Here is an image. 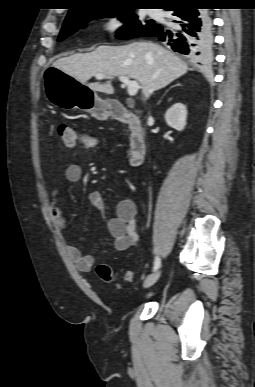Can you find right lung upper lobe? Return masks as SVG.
Instances as JSON below:
<instances>
[{"instance_id":"1","label":"right lung upper lobe","mask_w":255,"mask_h":387,"mask_svg":"<svg viewBox=\"0 0 255 387\" xmlns=\"http://www.w3.org/2000/svg\"><path fill=\"white\" fill-rule=\"evenodd\" d=\"M136 1L141 0H76L75 6L71 8L67 14L66 19H74L82 14L95 10H109L119 7H130L140 4ZM160 5L166 7L180 1L186 0H158ZM65 19V20H66Z\"/></svg>"}]
</instances>
